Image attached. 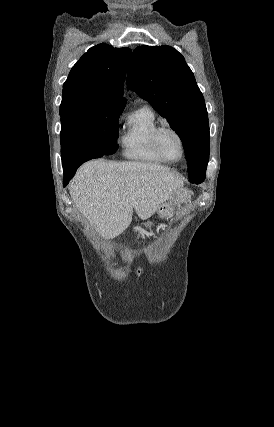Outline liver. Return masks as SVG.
I'll list each match as a JSON object with an SVG mask.
<instances>
[{
	"instance_id": "liver-1",
	"label": "liver",
	"mask_w": 274,
	"mask_h": 427,
	"mask_svg": "<svg viewBox=\"0 0 274 427\" xmlns=\"http://www.w3.org/2000/svg\"><path fill=\"white\" fill-rule=\"evenodd\" d=\"M183 186L178 174L158 164L91 160L77 170L69 190L96 231L113 239L130 225L133 210L148 219L167 200L184 202L188 192Z\"/></svg>"
}]
</instances>
